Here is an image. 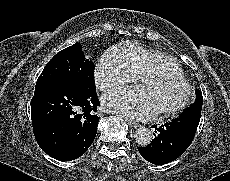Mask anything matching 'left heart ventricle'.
<instances>
[{
	"label": "left heart ventricle",
	"mask_w": 230,
	"mask_h": 181,
	"mask_svg": "<svg viewBox=\"0 0 230 181\" xmlns=\"http://www.w3.org/2000/svg\"><path fill=\"white\" fill-rule=\"evenodd\" d=\"M141 94L155 110H159L177 104L184 94V87L177 82L153 80L142 88Z\"/></svg>",
	"instance_id": "left-heart-ventricle-1"
}]
</instances>
